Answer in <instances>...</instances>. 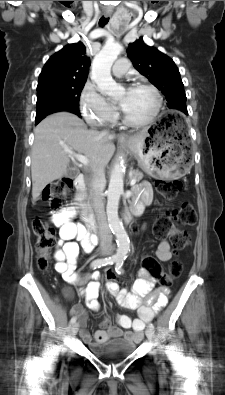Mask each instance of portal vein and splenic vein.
Here are the masks:
<instances>
[{
    "mask_svg": "<svg viewBox=\"0 0 225 395\" xmlns=\"http://www.w3.org/2000/svg\"><path fill=\"white\" fill-rule=\"evenodd\" d=\"M70 156L75 157L79 162H81L84 165H88L89 161L86 156L80 155V154H75L74 152L67 150L66 151ZM136 183L135 179H131L130 185L133 186Z\"/></svg>",
    "mask_w": 225,
    "mask_h": 395,
    "instance_id": "1",
    "label": "portal vein and splenic vein"
}]
</instances>
